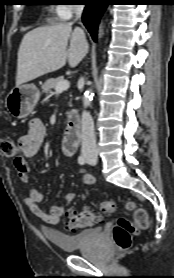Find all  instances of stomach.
<instances>
[{
	"mask_svg": "<svg viewBox=\"0 0 174 278\" xmlns=\"http://www.w3.org/2000/svg\"><path fill=\"white\" fill-rule=\"evenodd\" d=\"M40 99V91L34 84L14 87L5 99V107L14 118H25L35 108Z\"/></svg>",
	"mask_w": 174,
	"mask_h": 278,
	"instance_id": "1",
	"label": "stomach"
}]
</instances>
